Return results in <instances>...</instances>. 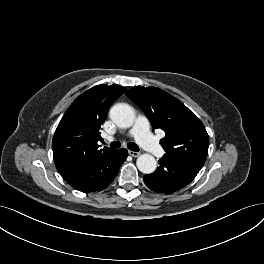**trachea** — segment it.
<instances>
[{
    "mask_svg": "<svg viewBox=\"0 0 264 264\" xmlns=\"http://www.w3.org/2000/svg\"><path fill=\"white\" fill-rule=\"evenodd\" d=\"M121 146L120 142L119 141H115V142H112L110 144V147L111 148H119ZM127 147L132 150V151H139V147L137 146V144L135 143H128L127 144Z\"/></svg>",
    "mask_w": 264,
    "mask_h": 264,
    "instance_id": "obj_1",
    "label": "trachea"
}]
</instances>
